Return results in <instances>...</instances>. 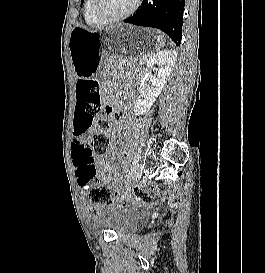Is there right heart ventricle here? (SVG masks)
Returning <instances> with one entry per match:
<instances>
[{
	"mask_svg": "<svg viewBox=\"0 0 265 273\" xmlns=\"http://www.w3.org/2000/svg\"><path fill=\"white\" fill-rule=\"evenodd\" d=\"M92 4H93V0H85V3H84V19H85V22L87 23V25H89L91 27H100V26L104 25V23L99 21L95 17V15L93 14Z\"/></svg>",
	"mask_w": 265,
	"mask_h": 273,
	"instance_id": "right-heart-ventricle-1",
	"label": "right heart ventricle"
}]
</instances>
